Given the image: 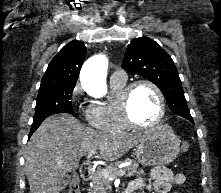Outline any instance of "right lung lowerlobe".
I'll use <instances>...</instances> for the list:
<instances>
[{
    "mask_svg": "<svg viewBox=\"0 0 221 193\" xmlns=\"http://www.w3.org/2000/svg\"><path fill=\"white\" fill-rule=\"evenodd\" d=\"M45 119V118H44ZM44 119H41L39 121L33 122L30 133H29V137H31V135L33 134V132L40 126V124L43 122Z\"/></svg>",
    "mask_w": 221,
    "mask_h": 193,
    "instance_id": "right-lung-lower-lobe-1",
    "label": "right lung lower lobe"
}]
</instances>
